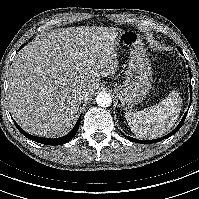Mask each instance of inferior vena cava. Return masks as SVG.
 Returning a JSON list of instances; mask_svg holds the SVG:
<instances>
[{"mask_svg": "<svg viewBox=\"0 0 199 199\" xmlns=\"http://www.w3.org/2000/svg\"><path fill=\"white\" fill-rule=\"evenodd\" d=\"M72 95L76 100L81 101L84 98V91L82 89H74Z\"/></svg>", "mask_w": 199, "mask_h": 199, "instance_id": "inferior-vena-cava-1", "label": "inferior vena cava"}]
</instances>
